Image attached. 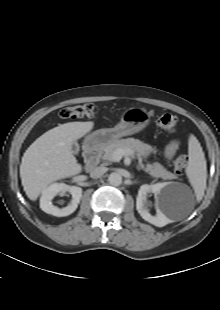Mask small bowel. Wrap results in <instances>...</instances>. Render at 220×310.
I'll use <instances>...</instances> for the list:
<instances>
[{
	"instance_id": "obj_1",
	"label": "small bowel",
	"mask_w": 220,
	"mask_h": 310,
	"mask_svg": "<svg viewBox=\"0 0 220 310\" xmlns=\"http://www.w3.org/2000/svg\"><path fill=\"white\" fill-rule=\"evenodd\" d=\"M181 145V142L178 139H174L172 141H170L164 151V155L167 159L172 158L175 153L177 152V150L179 149Z\"/></svg>"
}]
</instances>
